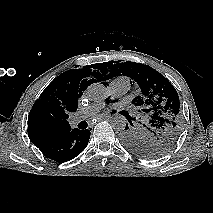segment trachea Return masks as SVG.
I'll return each mask as SVG.
<instances>
[{
    "mask_svg": "<svg viewBox=\"0 0 213 213\" xmlns=\"http://www.w3.org/2000/svg\"><path fill=\"white\" fill-rule=\"evenodd\" d=\"M85 123H86L85 121H82L80 123V128H82V129L86 128L87 124H85Z\"/></svg>",
    "mask_w": 213,
    "mask_h": 213,
    "instance_id": "obj_1",
    "label": "trachea"
}]
</instances>
